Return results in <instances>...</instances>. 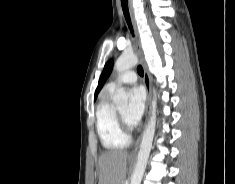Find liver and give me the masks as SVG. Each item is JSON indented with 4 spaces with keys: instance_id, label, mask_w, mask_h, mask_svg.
Wrapping results in <instances>:
<instances>
[{
    "instance_id": "liver-1",
    "label": "liver",
    "mask_w": 235,
    "mask_h": 184,
    "mask_svg": "<svg viewBox=\"0 0 235 184\" xmlns=\"http://www.w3.org/2000/svg\"><path fill=\"white\" fill-rule=\"evenodd\" d=\"M128 152L110 150L103 152L99 158V184H121L127 174Z\"/></svg>"
}]
</instances>
